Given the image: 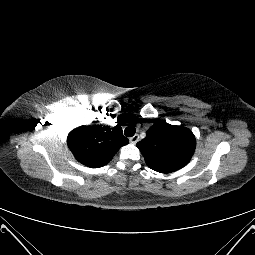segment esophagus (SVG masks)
Returning <instances> with one entry per match:
<instances>
[{"instance_id": "esophagus-1", "label": "esophagus", "mask_w": 255, "mask_h": 255, "mask_svg": "<svg viewBox=\"0 0 255 255\" xmlns=\"http://www.w3.org/2000/svg\"><path fill=\"white\" fill-rule=\"evenodd\" d=\"M129 141L132 144H136L139 141V135L136 134V135L130 137Z\"/></svg>"}]
</instances>
